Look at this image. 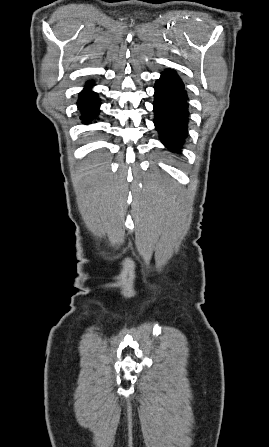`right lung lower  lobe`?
<instances>
[{"label": "right lung lower lobe", "instance_id": "right-lung-lower-lobe-1", "mask_svg": "<svg viewBox=\"0 0 269 447\" xmlns=\"http://www.w3.org/2000/svg\"><path fill=\"white\" fill-rule=\"evenodd\" d=\"M87 88L79 94L78 109L81 110L80 119L84 123H88L91 119H95L99 113L100 100L97 93L90 90L92 82H89Z\"/></svg>", "mask_w": 269, "mask_h": 447}]
</instances>
